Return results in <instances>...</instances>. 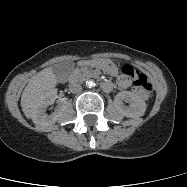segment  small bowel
Returning <instances> with one entry per match:
<instances>
[{
    "instance_id": "obj_1",
    "label": "small bowel",
    "mask_w": 187,
    "mask_h": 187,
    "mask_svg": "<svg viewBox=\"0 0 187 187\" xmlns=\"http://www.w3.org/2000/svg\"><path fill=\"white\" fill-rule=\"evenodd\" d=\"M111 84H112V83H111ZM117 85H118L119 87L125 89V88H128V87H130V86L132 85V81H131L130 78L121 76V77L118 79V81H117ZM112 86H113V84H112ZM133 90H134L135 93H137L138 95L141 96V93L137 90L136 87H134Z\"/></svg>"
}]
</instances>
